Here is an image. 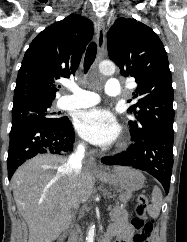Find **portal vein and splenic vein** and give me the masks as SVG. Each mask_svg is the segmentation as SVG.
<instances>
[{
  "mask_svg": "<svg viewBox=\"0 0 187 242\" xmlns=\"http://www.w3.org/2000/svg\"><path fill=\"white\" fill-rule=\"evenodd\" d=\"M109 210H110V207H108L107 211H109Z\"/></svg>",
  "mask_w": 187,
  "mask_h": 242,
  "instance_id": "1",
  "label": "portal vein and splenic vein"
}]
</instances>
